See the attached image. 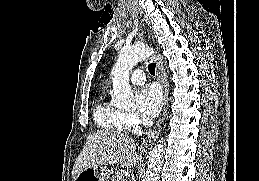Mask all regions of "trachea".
<instances>
[{"label":"trachea","mask_w":259,"mask_h":181,"mask_svg":"<svg viewBox=\"0 0 259 181\" xmlns=\"http://www.w3.org/2000/svg\"><path fill=\"white\" fill-rule=\"evenodd\" d=\"M155 67H156L155 63H151L148 65V70L151 75H155Z\"/></svg>","instance_id":"trachea-1"}]
</instances>
